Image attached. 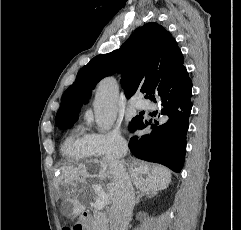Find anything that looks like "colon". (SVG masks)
Listing matches in <instances>:
<instances>
[{"label": "colon", "mask_w": 241, "mask_h": 230, "mask_svg": "<svg viewBox=\"0 0 241 230\" xmlns=\"http://www.w3.org/2000/svg\"><path fill=\"white\" fill-rule=\"evenodd\" d=\"M63 230H72V229L69 227H65V228H63Z\"/></svg>", "instance_id": "colon-1"}]
</instances>
